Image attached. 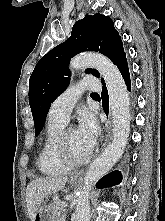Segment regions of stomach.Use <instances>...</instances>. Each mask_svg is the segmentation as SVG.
Returning <instances> with one entry per match:
<instances>
[{
  "instance_id": "1",
  "label": "stomach",
  "mask_w": 165,
  "mask_h": 221,
  "mask_svg": "<svg viewBox=\"0 0 165 221\" xmlns=\"http://www.w3.org/2000/svg\"><path fill=\"white\" fill-rule=\"evenodd\" d=\"M70 183L76 185L78 180L76 178H71ZM34 221H57V216L53 212L51 204H42L36 214Z\"/></svg>"
}]
</instances>
